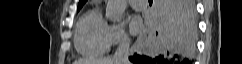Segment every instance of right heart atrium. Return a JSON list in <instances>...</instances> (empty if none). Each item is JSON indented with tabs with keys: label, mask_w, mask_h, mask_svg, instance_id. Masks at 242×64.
<instances>
[{
	"label": "right heart atrium",
	"mask_w": 242,
	"mask_h": 64,
	"mask_svg": "<svg viewBox=\"0 0 242 64\" xmlns=\"http://www.w3.org/2000/svg\"><path fill=\"white\" fill-rule=\"evenodd\" d=\"M108 39L110 45L126 44L129 41V37L121 23L111 24L108 28Z\"/></svg>",
	"instance_id": "obj_1"
}]
</instances>
